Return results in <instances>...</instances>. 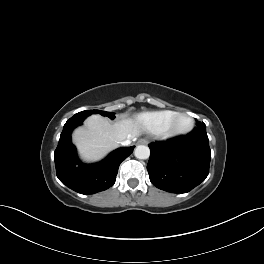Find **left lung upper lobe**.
<instances>
[{"label":"left lung upper lobe","mask_w":264,"mask_h":264,"mask_svg":"<svg viewBox=\"0 0 264 264\" xmlns=\"http://www.w3.org/2000/svg\"><path fill=\"white\" fill-rule=\"evenodd\" d=\"M196 124H197L198 126H206L204 123H200L199 121H196Z\"/></svg>","instance_id":"obj_1"}]
</instances>
